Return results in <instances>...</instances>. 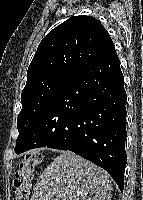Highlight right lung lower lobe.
<instances>
[{"label":"right lung lower lobe","mask_w":143,"mask_h":200,"mask_svg":"<svg viewBox=\"0 0 143 200\" xmlns=\"http://www.w3.org/2000/svg\"><path fill=\"white\" fill-rule=\"evenodd\" d=\"M123 83L116 51L72 74L36 118L17 154L45 146L73 151L105 169L123 191Z\"/></svg>","instance_id":"obj_1"}]
</instances>
